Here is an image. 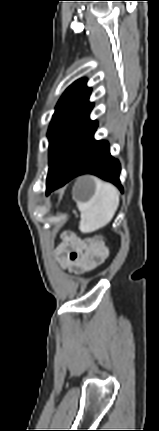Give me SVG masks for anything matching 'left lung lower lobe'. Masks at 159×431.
I'll return each instance as SVG.
<instances>
[{
  "label": "left lung lower lobe",
  "instance_id": "obj_1",
  "mask_svg": "<svg viewBox=\"0 0 159 431\" xmlns=\"http://www.w3.org/2000/svg\"><path fill=\"white\" fill-rule=\"evenodd\" d=\"M97 122L82 131L68 150L60 171L47 187V194L63 186L72 178L90 173L115 184L121 192L120 164L114 159L107 141H97L94 133Z\"/></svg>",
  "mask_w": 159,
  "mask_h": 431
}]
</instances>
